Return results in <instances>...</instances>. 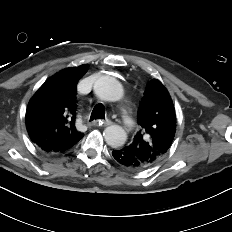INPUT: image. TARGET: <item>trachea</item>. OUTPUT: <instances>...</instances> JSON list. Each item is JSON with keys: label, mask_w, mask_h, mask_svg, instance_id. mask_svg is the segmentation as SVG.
Segmentation results:
<instances>
[{"label": "trachea", "mask_w": 232, "mask_h": 232, "mask_svg": "<svg viewBox=\"0 0 232 232\" xmlns=\"http://www.w3.org/2000/svg\"><path fill=\"white\" fill-rule=\"evenodd\" d=\"M95 119H105V108L102 104H97L91 113L90 121Z\"/></svg>", "instance_id": "obj_1"}]
</instances>
